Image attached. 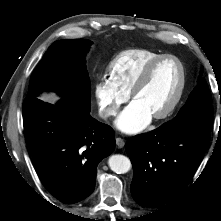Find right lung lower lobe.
Returning a JSON list of instances; mask_svg holds the SVG:
<instances>
[{"label": "right lung lower lobe", "mask_w": 221, "mask_h": 221, "mask_svg": "<svg viewBox=\"0 0 221 221\" xmlns=\"http://www.w3.org/2000/svg\"><path fill=\"white\" fill-rule=\"evenodd\" d=\"M65 97L56 105L36 96L23 104L26 142L45 188L66 204L79 202L95 188L97 165L115 148L113 130Z\"/></svg>", "instance_id": "right-lung-lower-lobe-1"}]
</instances>
